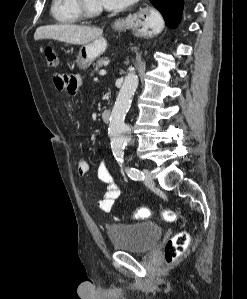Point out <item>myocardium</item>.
Returning <instances> with one entry per match:
<instances>
[{"label":"myocardium","instance_id":"myocardium-1","mask_svg":"<svg viewBox=\"0 0 247 299\" xmlns=\"http://www.w3.org/2000/svg\"><path fill=\"white\" fill-rule=\"evenodd\" d=\"M76 3L82 17L94 18L103 12L102 7L92 6L89 0H76Z\"/></svg>","mask_w":247,"mask_h":299}]
</instances>
